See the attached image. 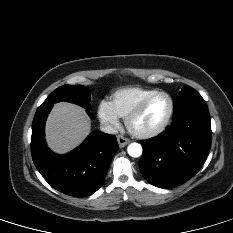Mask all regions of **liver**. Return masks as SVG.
<instances>
[{
  "label": "liver",
  "instance_id": "1",
  "mask_svg": "<svg viewBox=\"0 0 233 233\" xmlns=\"http://www.w3.org/2000/svg\"><path fill=\"white\" fill-rule=\"evenodd\" d=\"M90 129V119L82 107L60 102L53 106L48 116L46 140L51 150L65 154L81 144Z\"/></svg>",
  "mask_w": 233,
  "mask_h": 233
}]
</instances>
